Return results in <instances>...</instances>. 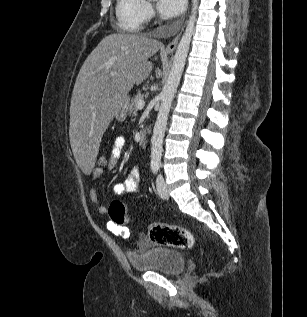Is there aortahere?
I'll return each instance as SVG.
<instances>
[{
  "label": "aorta",
  "mask_w": 307,
  "mask_h": 317,
  "mask_svg": "<svg viewBox=\"0 0 307 317\" xmlns=\"http://www.w3.org/2000/svg\"><path fill=\"white\" fill-rule=\"evenodd\" d=\"M198 5L199 0H192L191 15L189 17L185 32L175 52L171 71L163 87V90L160 93L161 106L151 138V167H159L161 163L163 138L168 115L188 56L192 36L195 30Z\"/></svg>",
  "instance_id": "aorta-1"
}]
</instances>
